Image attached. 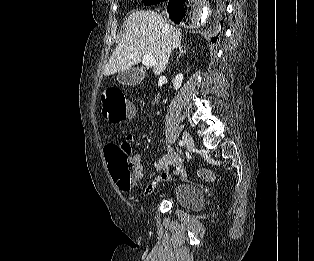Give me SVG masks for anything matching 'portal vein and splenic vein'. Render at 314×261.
Returning a JSON list of instances; mask_svg holds the SVG:
<instances>
[{
  "label": "portal vein and splenic vein",
  "mask_w": 314,
  "mask_h": 261,
  "mask_svg": "<svg viewBox=\"0 0 314 261\" xmlns=\"http://www.w3.org/2000/svg\"><path fill=\"white\" fill-rule=\"evenodd\" d=\"M141 61L143 65L148 66V67H154L156 64L155 58L149 54L144 55Z\"/></svg>",
  "instance_id": "1"
}]
</instances>
